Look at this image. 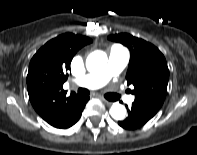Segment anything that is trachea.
<instances>
[{"instance_id": "trachea-1", "label": "trachea", "mask_w": 197, "mask_h": 155, "mask_svg": "<svg viewBox=\"0 0 197 155\" xmlns=\"http://www.w3.org/2000/svg\"><path fill=\"white\" fill-rule=\"evenodd\" d=\"M89 90L85 89V88H79L78 89V94L86 96L89 95ZM105 98L109 101H117L120 98V95L118 94H114V93H108L105 94Z\"/></svg>"}]
</instances>
